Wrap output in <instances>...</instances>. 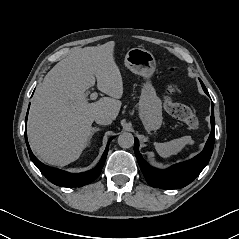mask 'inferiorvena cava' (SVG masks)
Masks as SVG:
<instances>
[{
    "mask_svg": "<svg viewBox=\"0 0 239 239\" xmlns=\"http://www.w3.org/2000/svg\"><path fill=\"white\" fill-rule=\"evenodd\" d=\"M95 122L100 125H109L112 123L111 115L108 112L98 113L95 118Z\"/></svg>",
    "mask_w": 239,
    "mask_h": 239,
    "instance_id": "602c4592",
    "label": "inferior vena cava"
}]
</instances>
